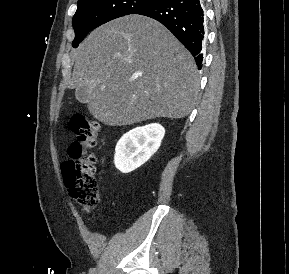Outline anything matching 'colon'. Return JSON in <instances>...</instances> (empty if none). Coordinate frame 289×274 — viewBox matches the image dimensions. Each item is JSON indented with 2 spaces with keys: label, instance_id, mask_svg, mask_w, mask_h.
<instances>
[{
  "label": "colon",
  "instance_id": "1",
  "mask_svg": "<svg viewBox=\"0 0 289 274\" xmlns=\"http://www.w3.org/2000/svg\"><path fill=\"white\" fill-rule=\"evenodd\" d=\"M70 128L77 139L69 147L71 159L63 163L62 172L71 197L89 211L99 202L96 158L89 151L97 144L101 125L95 120L76 115L70 122Z\"/></svg>",
  "mask_w": 289,
  "mask_h": 274
}]
</instances>
